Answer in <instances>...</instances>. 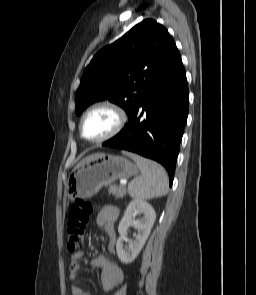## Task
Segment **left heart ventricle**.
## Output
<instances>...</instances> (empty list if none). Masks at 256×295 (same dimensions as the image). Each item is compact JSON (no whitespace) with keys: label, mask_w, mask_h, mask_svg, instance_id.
Masks as SVG:
<instances>
[{"label":"left heart ventricle","mask_w":256,"mask_h":295,"mask_svg":"<svg viewBox=\"0 0 256 295\" xmlns=\"http://www.w3.org/2000/svg\"><path fill=\"white\" fill-rule=\"evenodd\" d=\"M116 122L115 115L106 108L91 112L84 121L83 133L88 139H97L108 134Z\"/></svg>","instance_id":"obj_1"}]
</instances>
